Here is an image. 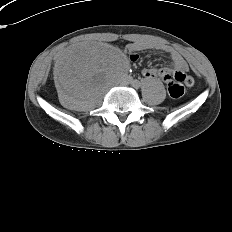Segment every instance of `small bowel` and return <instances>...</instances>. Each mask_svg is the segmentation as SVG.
Listing matches in <instances>:
<instances>
[{"mask_svg": "<svg viewBox=\"0 0 232 232\" xmlns=\"http://www.w3.org/2000/svg\"><path fill=\"white\" fill-rule=\"evenodd\" d=\"M147 49H156L163 50L170 54L173 70L169 68L161 69H144L143 76L146 79H152L159 77L163 81H168L174 77L176 74H183L187 71V65L181 54L174 48L164 45L159 42L149 41V40H135L128 45V50L132 53V61H136L137 56L136 52L147 50Z\"/></svg>", "mask_w": 232, "mask_h": 232, "instance_id": "obj_1", "label": "small bowel"}]
</instances>
